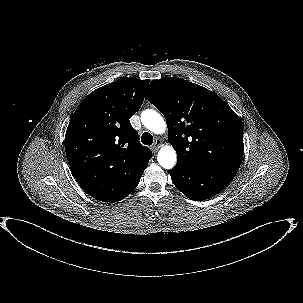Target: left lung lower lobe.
<instances>
[{
  "label": "left lung lower lobe",
  "instance_id": "1",
  "mask_svg": "<svg viewBox=\"0 0 303 303\" xmlns=\"http://www.w3.org/2000/svg\"><path fill=\"white\" fill-rule=\"evenodd\" d=\"M238 169L228 166L193 167L177 163L169 171L172 182L186 197L200 201L221 192L235 177Z\"/></svg>",
  "mask_w": 303,
  "mask_h": 303
}]
</instances>
